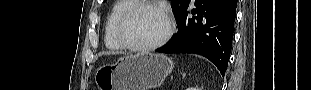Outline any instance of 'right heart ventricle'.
<instances>
[{
	"label": "right heart ventricle",
	"instance_id": "obj_1",
	"mask_svg": "<svg viewBox=\"0 0 311 90\" xmlns=\"http://www.w3.org/2000/svg\"><path fill=\"white\" fill-rule=\"evenodd\" d=\"M136 3L134 0H119L112 5L104 28V42L108 49L113 51L124 49L117 37V24L120 17Z\"/></svg>",
	"mask_w": 311,
	"mask_h": 90
}]
</instances>
